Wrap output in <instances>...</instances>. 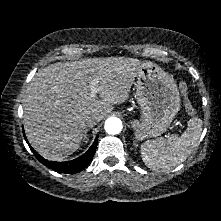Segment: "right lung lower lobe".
Returning a JSON list of instances; mask_svg holds the SVG:
<instances>
[{"instance_id":"98d812e1","label":"right lung lower lobe","mask_w":221,"mask_h":221,"mask_svg":"<svg viewBox=\"0 0 221 221\" xmlns=\"http://www.w3.org/2000/svg\"><path fill=\"white\" fill-rule=\"evenodd\" d=\"M24 138L26 142L28 143L31 151L34 153L35 157L37 158L39 162H41L43 165H45L48 168H51L54 171H57L60 173H66V174L78 173L82 171L83 169H85L91 162L95 154V150H96L97 143H98V135H97L92 146L82 156L71 161L56 162V161H49L47 159H44L30 146L25 135H24Z\"/></svg>"}]
</instances>
